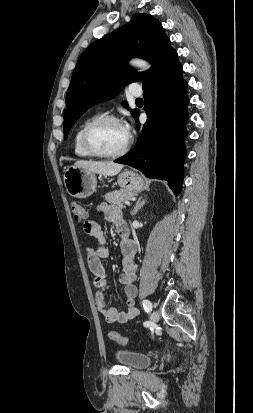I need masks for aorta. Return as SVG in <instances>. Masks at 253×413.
I'll use <instances>...</instances> for the list:
<instances>
[{"mask_svg":"<svg viewBox=\"0 0 253 413\" xmlns=\"http://www.w3.org/2000/svg\"><path fill=\"white\" fill-rule=\"evenodd\" d=\"M130 64L134 67L142 68V69H148L150 67L149 63L145 60L142 59H132L130 61Z\"/></svg>","mask_w":253,"mask_h":413,"instance_id":"obj_1","label":"aorta"}]
</instances>
